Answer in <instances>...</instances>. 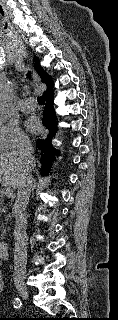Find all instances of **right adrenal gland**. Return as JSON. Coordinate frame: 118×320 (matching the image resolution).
Segmentation results:
<instances>
[{
  "mask_svg": "<svg viewBox=\"0 0 118 320\" xmlns=\"http://www.w3.org/2000/svg\"><path fill=\"white\" fill-rule=\"evenodd\" d=\"M35 187H36V180H34V184H33V188H32V190H34V189H35Z\"/></svg>",
  "mask_w": 118,
  "mask_h": 320,
  "instance_id": "right-adrenal-gland-1",
  "label": "right adrenal gland"
}]
</instances>
